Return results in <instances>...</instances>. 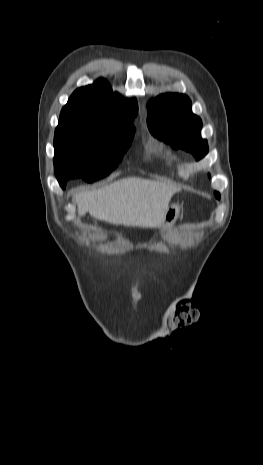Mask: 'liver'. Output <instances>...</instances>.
<instances>
[{
  "instance_id": "1",
  "label": "liver",
  "mask_w": 263,
  "mask_h": 465,
  "mask_svg": "<svg viewBox=\"0 0 263 465\" xmlns=\"http://www.w3.org/2000/svg\"><path fill=\"white\" fill-rule=\"evenodd\" d=\"M180 189L165 183L128 177L98 190L75 194L79 216L127 227H160L172 196Z\"/></svg>"
}]
</instances>
